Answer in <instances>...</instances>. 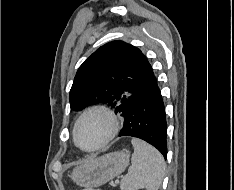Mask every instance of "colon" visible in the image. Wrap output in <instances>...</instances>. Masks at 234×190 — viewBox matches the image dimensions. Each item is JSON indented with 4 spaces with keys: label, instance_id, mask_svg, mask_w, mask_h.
<instances>
[{
    "label": "colon",
    "instance_id": "5ec220e1",
    "mask_svg": "<svg viewBox=\"0 0 234 190\" xmlns=\"http://www.w3.org/2000/svg\"><path fill=\"white\" fill-rule=\"evenodd\" d=\"M84 190H102V189L97 188V189H84Z\"/></svg>",
    "mask_w": 234,
    "mask_h": 190
}]
</instances>
